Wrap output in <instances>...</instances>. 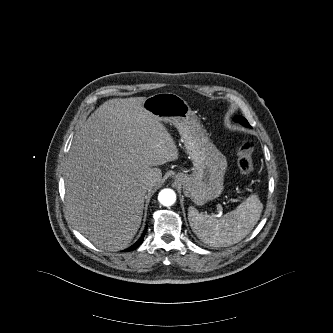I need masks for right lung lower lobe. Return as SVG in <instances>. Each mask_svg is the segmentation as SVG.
<instances>
[{
    "instance_id": "right-lung-lower-lobe-1",
    "label": "right lung lower lobe",
    "mask_w": 333,
    "mask_h": 333,
    "mask_svg": "<svg viewBox=\"0 0 333 333\" xmlns=\"http://www.w3.org/2000/svg\"><path fill=\"white\" fill-rule=\"evenodd\" d=\"M145 233H146V230L144 231V233H143V235L141 236V238H140V239H139L134 245H132L131 247H129V248L126 249L125 251H131V250L135 249L136 247H138V246L141 244V242H142V240H143V238H144Z\"/></svg>"
}]
</instances>
